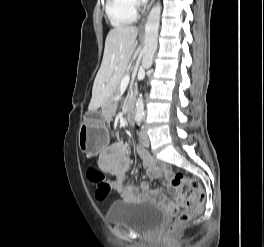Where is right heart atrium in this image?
Returning a JSON list of instances; mask_svg holds the SVG:
<instances>
[{"label": "right heart atrium", "mask_w": 264, "mask_h": 247, "mask_svg": "<svg viewBox=\"0 0 264 247\" xmlns=\"http://www.w3.org/2000/svg\"><path fill=\"white\" fill-rule=\"evenodd\" d=\"M126 3H127L129 8H131L132 10H135V11L140 6V0H126Z\"/></svg>", "instance_id": "right-heart-atrium-1"}]
</instances>
